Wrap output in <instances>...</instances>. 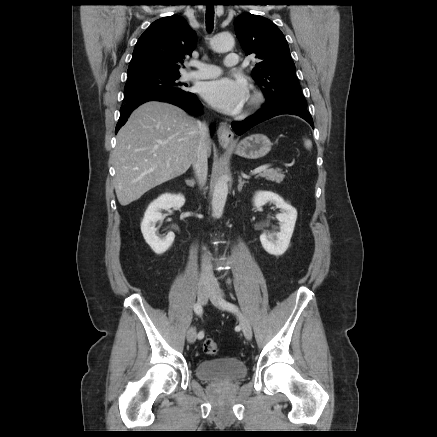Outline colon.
Here are the masks:
<instances>
[{
    "instance_id": "obj_1",
    "label": "colon",
    "mask_w": 437,
    "mask_h": 437,
    "mask_svg": "<svg viewBox=\"0 0 437 437\" xmlns=\"http://www.w3.org/2000/svg\"><path fill=\"white\" fill-rule=\"evenodd\" d=\"M203 351L208 355H214L218 351L217 343L214 340L206 339L203 342Z\"/></svg>"
}]
</instances>
